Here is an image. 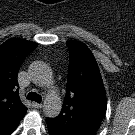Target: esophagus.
<instances>
[{
	"instance_id": "obj_1",
	"label": "esophagus",
	"mask_w": 135,
	"mask_h": 135,
	"mask_svg": "<svg viewBox=\"0 0 135 135\" xmlns=\"http://www.w3.org/2000/svg\"><path fill=\"white\" fill-rule=\"evenodd\" d=\"M32 107L34 108H42V104L36 103V102H32Z\"/></svg>"
}]
</instances>
